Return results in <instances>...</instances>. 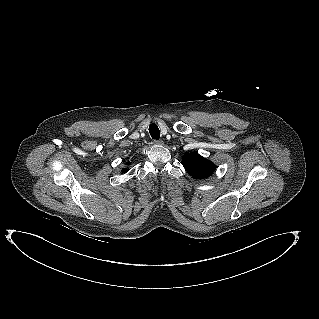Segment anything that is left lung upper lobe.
Segmentation results:
<instances>
[{
  "mask_svg": "<svg viewBox=\"0 0 319 319\" xmlns=\"http://www.w3.org/2000/svg\"><path fill=\"white\" fill-rule=\"evenodd\" d=\"M182 164L185 170L195 179H203L209 177L216 166L200 156L197 152L186 153L183 156Z\"/></svg>",
  "mask_w": 319,
  "mask_h": 319,
  "instance_id": "left-lung-upper-lobe-1",
  "label": "left lung upper lobe"
}]
</instances>
